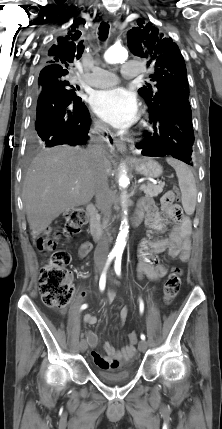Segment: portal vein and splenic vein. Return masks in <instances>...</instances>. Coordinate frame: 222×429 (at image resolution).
Segmentation results:
<instances>
[{
    "label": "portal vein and splenic vein",
    "instance_id": "18ae733b",
    "mask_svg": "<svg viewBox=\"0 0 222 429\" xmlns=\"http://www.w3.org/2000/svg\"><path fill=\"white\" fill-rule=\"evenodd\" d=\"M146 188V185L145 184H142L141 186H140V190H143V189H145Z\"/></svg>",
    "mask_w": 222,
    "mask_h": 429
}]
</instances>
